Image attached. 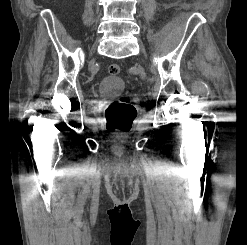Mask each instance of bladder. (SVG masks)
<instances>
[{
  "label": "bladder",
  "instance_id": "1",
  "mask_svg": "<svg viewBox=\"0 0 247 245\" xmlns=\"http://www.w3.org/2000/svg\"><path fill=\"white\" fill-rule=\"evenodd\" d=\"M124 89L123 80L116 75H107L103 77L97 86L99 96H108L119 93Z\"/></svg>",
  "mask_w": 247,
  "mask_h": 245
}]
</instances>
